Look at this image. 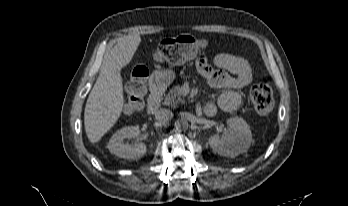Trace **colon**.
I'll return each mask as SVG.
<instances>
[{
	"instance_id": "5ec220e1",
	"label": "colon",
	"mask_w": 348,
	"mask_h": 206,
	"mask_svg": "<svg viewBox=\"0 0 348 206\" xmlns=\"http://www.w3.org/2000/svg\"><path fill=\"white\" fill-rule=\"evenodd\" d=\"M196 47L195 39L189 36H176L163 39L156 50L155 60L160 63L179 64L190 57ZM148 69L143 64H136L130 74L125 104L127 111L133 112L142 108L145 95V81ZM250 103L259 114H267L274 107V97L270 86L266 83L254 85L250 91Z\"/></svg>"
}]
</instances>
